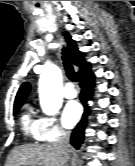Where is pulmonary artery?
Masks as SVG:
<instances>
[{"label":"pulmonary artery","mask_w":135,"mask_h":166,"mask_svg":"<svg viewBox=\"0 0 135 166\" xmlns=\"http://www.w3.org/2000/svg\"><path fill=\"white\" fill-rule=\"evenodd\" d=\"M76 94L77 93L73 85L70 83H67L64 89V96L68 99H72L76 97Z\"/></svg>","instance_id":"pulmonary-artery-1"}]
</instances>
